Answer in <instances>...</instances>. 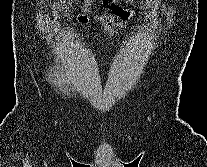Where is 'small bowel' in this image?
I'll use <instances>...</instances> for the list:
<instances>
[{
    "instance_id": "small-bowel-1",
    "label": "small bowel",
    "mask_w": 207,
    "mask_h": 167,
    "mask_svg": "<svg viewBox=\"0 0 207 167\" xmlns=\"http://www.w3.org/2000/svg\"><path fill=\"white\" fill-rule=\"evenodd\" d=\"M92 0H84L82 8L89 7ZM102 3L110 12H104L96 17L108 36L112 37L118 30H121L127 26L126 20L131 17L128 11L123 10L118 0H102ZM87 16H80L79 21L82 23L88 22Z\"/></svg>"
}]
</instances>
